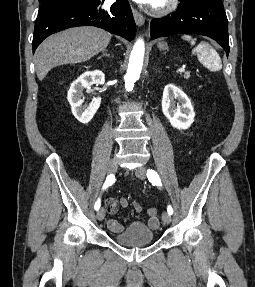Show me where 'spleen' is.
Wrapping results in <instances>:
<instances>
[{
    "mask_svg": "<svg viewBox=\"0 0 255 287\" xmlns=\"http://www.w3.org/2000/svg\"><path fill=\"white\" fill-rule=\"evenodd\" d=\"M182 40H186V42H191L192 46L195 44V40H192L191 36H182ZM194 52H198V54H202V62L204 66H209L211 70H221L222 62L220 60L219 54H217L216 50L211 48L210 44H205V42H201L197 48H195Z\"/></svg>",
    "mask_w": 255,
    "mask_h": 287,
    "instance_id": "1",
    "label": "spleen"
}]
</instances>
